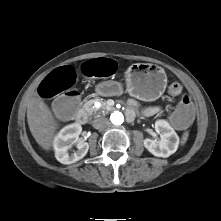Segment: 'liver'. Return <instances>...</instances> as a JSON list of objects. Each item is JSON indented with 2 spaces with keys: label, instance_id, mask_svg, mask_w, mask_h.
<instances>
[{
  "label": "liver",
  "instance_id": "1",
  "mask_svg": "<svg viewBox=\"0 0 221 221\" xmlns=\"http://www.w3.org/2000/svg\"><path fill=\"white\" fill-rule=\"evenodd\" d=\"M27 122L36 142L43 149L50 150L59 125L50 108L39 96L32 97L28 102Z\"/></svg>",
  "mask_w": 221,
  "mask_h": 221
}]
</instances>
